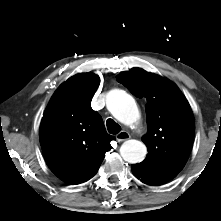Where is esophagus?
<instances>
[{
    "mask_svg": "<svg viewBox=\"0 0 221 221\" xmlns=\"http://www.w3.org/2000/svg\"><path fill=\"white\" fill-rule=\"evenodd\" d=\"M130 139V134L127 131H121L116 135V140L118 142H123Z\"/></svg>",
    "mask_w": 221,
    "mask_h": 221,
    "instance_id": "obj_1",
    "label": "esophagus"
}]
</instances>
